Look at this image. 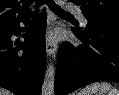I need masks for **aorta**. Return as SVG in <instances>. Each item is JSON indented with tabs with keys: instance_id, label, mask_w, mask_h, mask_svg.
Returning <instances> with one entry per match:
<instances>
[{
	"instance_id": "1",
	"label": "aorta",
	"mask_w": 119,
	"mask_h": 95,
	"mask_svg": "<svg viewBox=\"0 0 119 95\" xmlns=\"http://www.w3.org/2000/svg\"><path fill=\"white\" fill-rule=\"evenodd\" d=\"M55 71V65L48 64L41 90L42 95H54Z\"/></svg>"
}]
</instances>
